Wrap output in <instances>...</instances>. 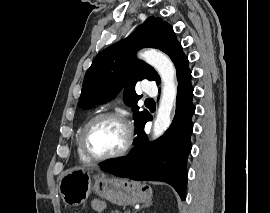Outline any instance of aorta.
I'll return each mask as SVG.
<instances>
[{
	"mask_svg": "<svg viewBox=\"0 0 270 213\" xmlns=\"http://www.w3.org/2000/svg\"><path fill=\"white\" fill-rule=\"evenodd\" d=\"M140 57L157 70L163 83L162 96L153 126V138L156 139L171 124V112L177 96L176 70L168 56L160 51L149 49L140 53Z\"/></svg>",
	"mask_w": 270,
	"mask_h": 213,
	"instance_id": "aorta-1",
	"label": "aorta"
}]
</instances>
